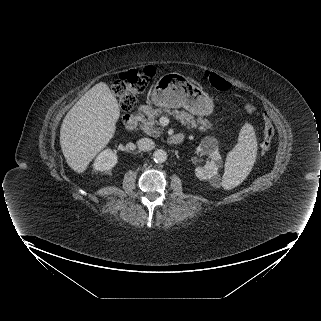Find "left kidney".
I'll return each mask as SVG.
<instances>
[{"label":"left kidney","instance_id":"left-kidney-1","mask_svg":"<svg viewBox=\"0 0 321 321\" xmlns=\"http://www.w3.org/2000/svg\"><path fill=\"white\" fill-rule=\"evenodd\" d=\"M197 153L208 155L210 161L204 167H197L195 175L200 180L211 179L217 175L218 169L222 167L223 161L218 150L217 140L213 137L204 139L197 147Z\"/></svg>","mask_w":321,"mask_h":321}]
</instances>
